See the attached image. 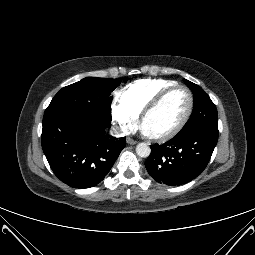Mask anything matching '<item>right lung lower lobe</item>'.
I'll use <instances>...</instances> for the list:
<instances>
[{
  "mask_svg": "<svg viewBox=\"0 0 255 255\" xmlns=\"http://www.w3.org/2000/svg\"><path fill=\"white\" fill-rule=\"evenodd\" d=\"M109 127L75 112L45 115L41 143L54 174L73 188L100 183L126 146L125 137L106 133Z\"/></svg>",
  "mask_w": 255,
  "mask_h": 255,
  "instance_id": "98d812e1",
  "label": "right lung lower lobe"
}]
</instances>
